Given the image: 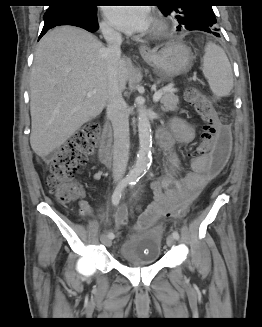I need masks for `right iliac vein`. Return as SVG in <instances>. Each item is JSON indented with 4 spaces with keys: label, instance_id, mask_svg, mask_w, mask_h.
<instances>
[{
    "label": "right iliac vein",
    "instance_id": "63e3f726",
    "mask_svg": "<svg viewBox=\"0 0 262 327\" xmlns=\"http://www.w3.org/2000/svg\"><path fill=\"white\" fill-rule=\"evenodd\" d=\"M101 242L107 247H110L112 245V239L108 237L106 234H103L101 236Z\"/></svg>",
    "mask_w": 262,
    "mask_h": 327
}]
</instances>
